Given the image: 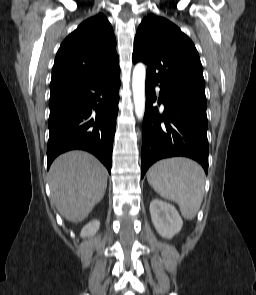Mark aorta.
Segmentation results:
<instances>
[{
    "instance_id": "762f6f07",
    "label": "aorta",
    "mask_w": 256,
    "mask_h": 295,
    "mask_svg": "<svg viewBox=\"0 0 256 295\" xmlns=\"http://www.w3.org/2000/svg\"><path fill=\"white\" fill-rule=\"evenodd\" d=\"M145 77L146 68L144 64H136L133 70L132 90L135 114L139 120L143 119L145 112Z\"/></svg>"
}]
</instances>
